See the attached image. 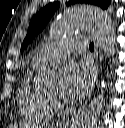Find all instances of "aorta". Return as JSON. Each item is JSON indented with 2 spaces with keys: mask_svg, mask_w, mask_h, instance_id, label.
Instances as JSON below:
<instances>
[{
  "mask_svg": "<svg viewBox=\"0 0 125 128\" xmlns=\"http://www.w3.org/2000/svg\"><path fill=\"white\" fill-rule=\"evenodd\" d=\"M88 31L92 34L107 57L116 49L115 29L111 19L102 9L88 4H78L67 9L52 25L50 34L54 37L74 32ZM37 84L43 89L55 88L58 75L49 68L41 69ZM105 84L102 82V87ZM103 103V94L93 99L90 106L80 115L72 128H95Z\"/></svg>",
  "mask_w": 125,
  "mask_h": 128,
  "instance_id": "obj_1",
  "label": "aorta"
}]
</instances>
